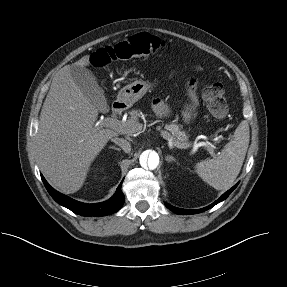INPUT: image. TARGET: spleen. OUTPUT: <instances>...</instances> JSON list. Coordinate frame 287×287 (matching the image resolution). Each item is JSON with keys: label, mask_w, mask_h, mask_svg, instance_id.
I'll return each mask as SVG.
<instances>
[{"label": "spleen", "mask_w": 287, "mask_h": 287, "mask_svg": "<svg viewBox=\"0 0 287 287\" xmlns=\"http://www.w3.org/2000/svg\"><path fill=\"white\" fill-rule=\"evenodd\" d=\"M249 140V124L243 120L236 128L233 139L225 145L217 157L196 164L197 174L216 190L230 188L243 165Z\"/></svg>", "instance_id": "obj_1"}]
</instances>
